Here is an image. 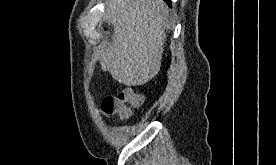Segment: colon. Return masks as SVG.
I'll return each instance as SVG.
<instances>
[{"label": "colon", "instance_id": "5ec220e1", "mask_svg": "<svg viewBox=\"0 0 276 165\" xmlns=\"http://www.w3.org/2000/svg\"><path fill=\"white\" fill-rule=\"evenodd\" d=\"M141 98L133 89L126 88L117 96L106 97L102 102V112L105 115H118L120 117H128L132 107H138Z\"/></svg>", "mask_w": 276, "mask_h": 165}]
</instances>
